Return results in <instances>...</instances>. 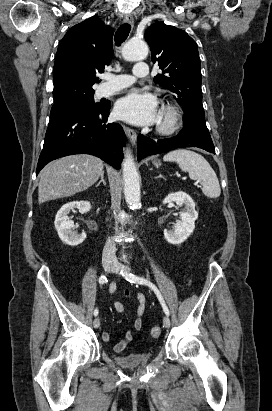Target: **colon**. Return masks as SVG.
Returning a JSON list of instances; mask_svg holds the SVG:
<instances>
[{
  "label": "colon",
  "mask_w": 272,
  "mask_h": 411,
  "mask_svg": "<svg viewBox=\"0 0 272 411\" xmlns=\"http://www.w3.org/2000/svg\"><path fill=\"white\" fill-rule=\"evenodd\" d=\"M161 328L160 327H153L151 330H150V336H151V338H153V339H157V338H159L160 337V335H161Z\"/></svg>",
  "instance_id": "1"
}]
</instances>
